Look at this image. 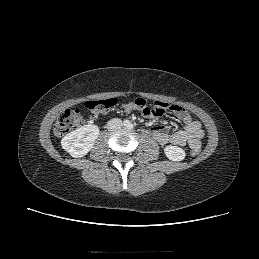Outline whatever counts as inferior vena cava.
<instances>
[{
  "instance_id": "1",
  "label": "inferior vena cava",
  "mask_w": 259,
  "mask_h": 259,
  "mask_svg": "<svg viewBox=\"0 0 259 259\" xmlns=\"http://www.w3.org/2000/svg\"><path fill=\"white\" fill-rule=\"evenodd\" d=\"M122 126H123V123L118 118H113V119L109 120L108 123H107V129L109 131L119 130V129L122 128Z\"/></svg>"
}]
</instances>
